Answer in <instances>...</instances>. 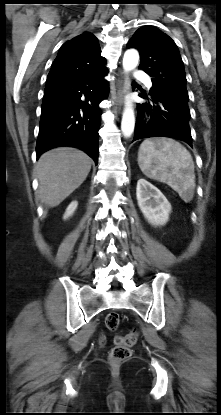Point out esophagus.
<instances>
[{"mask_svg":"<svg viewBox=\"0 0 221 415\" xmlns=\"http://www.w3.org/2000/svg\"><path fill=\"white\" fill-rule=\"evenodd\" d=\"M125 75L122 72L117 83V93L115 96L116 105L120 108L124 102L125 86H124Z\"/></svg>","mask_w":221,"mask_h":415,"instance_id":"obj_1","label":"esophagus"}]
</instances>
